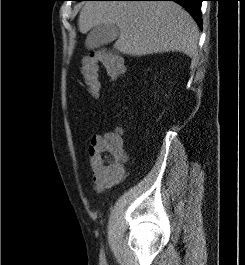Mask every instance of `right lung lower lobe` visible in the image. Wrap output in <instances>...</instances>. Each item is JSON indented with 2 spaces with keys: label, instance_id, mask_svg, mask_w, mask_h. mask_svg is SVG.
Wrapping results in <instances>:
<instances>
[{
  "label": "right lung lower lobe",
  "instance_id": "98d812e1",
  "mask_svg": "<svg viewBox=\"0 0 245 265\" xmlns=\"http://www.w3.org/2000/svg\"><path fill=\"white\" fill-rule=\"evenodd\" d=\"M123 1H174L189 11L191 16L202 29L201 3L203 0H123Z\"/></svg>",
  "mask_w": 245,
  "mask_h": 265
}]
</instances>
